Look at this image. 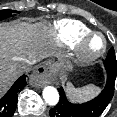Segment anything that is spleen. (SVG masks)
<instances>
[{
  "mask_svg": "<svg viewBox=\"0 0 117 117\" xmlns=\"http://www.w3.org/2000/svg\"><path fill=\"white\" fill-rule=\"evenodd\" d=\"M67 94L74 102H83L92 99L100 90L99 87L89 84L81 88H75L71 83L67 84Z\"/></svg>",
  "mask_w": 117,
  "mask_h": 117,
  "instance_id": "obj_1",
  "label": "spleen"
}]
</instances>
